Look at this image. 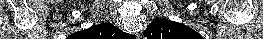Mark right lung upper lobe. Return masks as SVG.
<instances>
[{
    "mask_svg": "<svg viewBox=\"0 0 263 39\" xmlns=\"http://www.w3.org/2000/svg\"><path fill=\"white\" fill-rule=\"evenodd\" d=\"M85 39H123L128 37L113 24L102 23L79 32Z\"/></svg>",
    "mask_w": 263,
    "mask_h": 39,
    "instance_id": "cb5924a9",
    "label": "right lung upper lobe"
}]
</instances>
